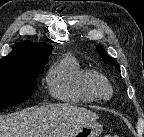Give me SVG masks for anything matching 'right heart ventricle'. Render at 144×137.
Listing matches in <instances>:
<instances>
[{"label": "right heart ventricle", "mask_w": 144, "mask_h": 137, "mask_svg": "<svg viewBox=\"0 0 144 137\" xmlns=\"http://www.w3.org/2000/svg\"><path fill=\"white\" fill-rule=\"evenodd\" d=\"M93 72L72 54L64 55L48 72L46 81L50 94L68 104H83L97 100L89 90Z\"/></svg>", "instance_id": "1"}]
</instances>
